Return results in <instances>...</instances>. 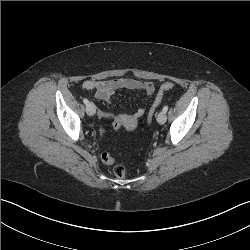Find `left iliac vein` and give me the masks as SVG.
Wrapping results in <instances>:
<instances>
[{"label":"left iliac vein","mask_w":250,"mask_h":250,"mask_svg":"<svg viewBox=\"0 0 250 250\" xmlns=\"http://www.w3.org/2000/svg\"><path fill=\"white\" fill-rule=\"evenodd\" d=\"M167 120V116H166V113L164 111H161L158 116H157V121L160 123V124H164Z\"/></svg>","instance_id":"left-iliac-vein-1"}]
</instances>
